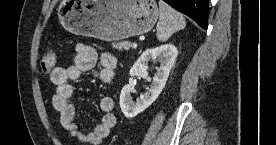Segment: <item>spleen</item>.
I'll list each match as a JSON object with an SVG mask.
<instances>
[{"mask_svg":"<svg viewBox=\"0 0 276 145\" xmlns=\"http://www.w3.org/2000/svg\"><path fill=\"white\" fill-rule=\"evenodd\" d=\"M159 9L160 16L157 23V39L164 42L173 33L183 29L186 26V22L182 14L162 0L159 1Z\"/></svg>","mask_w":276,"mask_h":145,"instance_id":"spleen-1","label":"spleen"}]
</instances>
